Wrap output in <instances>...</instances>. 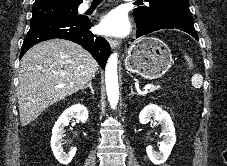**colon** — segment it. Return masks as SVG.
<instances>
[{
    "label": "colon",
    "instance_id": "obj_1",
    "mask_svg": "<svg viewBox=\"0 0 227 166\" xmlns=\"http://www.w3.org/2000/svg\"><path fill=\"white\" fill-rule=\"evenodd\" d=\"M185 63L189 66V67H191V60H190V58H188V57H185Z\"/></svg>",
    "mask_w": 227,
    "mask_h": 166
}]
</instances>
